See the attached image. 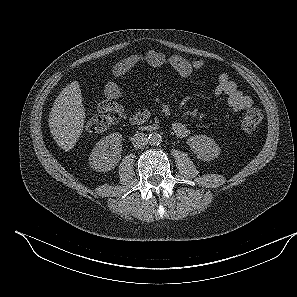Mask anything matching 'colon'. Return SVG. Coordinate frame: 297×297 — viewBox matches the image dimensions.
I'll use <instances>...</instances> for the list:
<instances>
[{"mask_svg":"<svg viewBox=\"0 0 297 297\" xmlns=\"http://www.w3.org/2000/svg\"><path fill=\"white\" fill-rule=\"evenodd\" d=\"M118 115L111 111H100L91 118L85 125L88 134H103L117 123ZM263 120V113L258 108L248 109L242 116L241 127L243 131L255 132Z\"/></svg>","mask_w":297,"mask_h":297,"instance_id":"obj_1","label":"colon"}]
</instances>
